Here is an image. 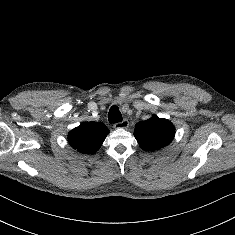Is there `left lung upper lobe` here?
Instances as JSON below:
<instances>
[{"label":"left lung upper lobe","mask_w":235,"mask_h":235,"mask_svg":"<svg viewBox=\"0 0 235 235\" xmlns=\"http://www.w3.org/2000/svg\"><path fill=\"white\" fill-rule=\"evenodd\" d=\"M175 127L167 119L155 115L136 124L134 136L140 147L154 151L167 146L174 138Z\"/></svg>","instance_id":"obj_1"}]
</instances>
